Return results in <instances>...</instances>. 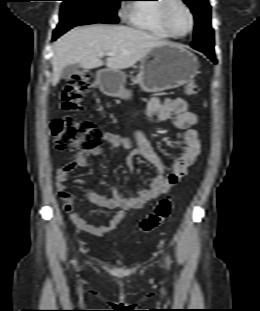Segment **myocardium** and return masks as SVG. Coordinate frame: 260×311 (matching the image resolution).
<instances>
[{"mask_svg":"<svg viewBox=\"0 0 260 311\" xmlns=\"http://www.w3.org/2000/svg\"><path fill=\"white\" fill-rule=\"evenodd\" d=\"M173 3H178L180 4L188 13L189 18H190V28L189 30L185 33V34H176L175 32H173V30L171 29L169 22H168V13H169V9L171 7V5ZM159 20L160 23L162 25V27L165 29V31L174 38H183L188 36L189 34L192 33L193 29H194V25H195V18H194V14L191 10V8L189 7V5L184 1V0H162L160 6H159Z\"/></svg>","mask_w":260,"mask_h":311,"instance_id":"myocardium-1","label":"myocardium"}]
</instances>
